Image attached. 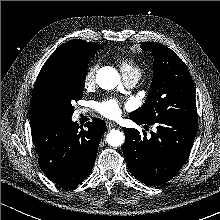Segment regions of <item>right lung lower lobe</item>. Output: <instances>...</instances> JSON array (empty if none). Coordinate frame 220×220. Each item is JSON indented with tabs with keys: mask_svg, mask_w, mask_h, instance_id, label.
<instances>
[{
	"mask_svg": "<svg viewBox=\"0 0 220 220\" xmlns=\"http://www.w3.org/2000/svg\"><path fill=\"white\" fill-rule=\"evenodd\" d=\"M85 127L80 128L71 117L56 116L32 126L39 164L45 175L63 188L77 186L90 175L99 142L107 130L98 118Z\"/></svg>",
	"mask_w": 220,
	"mask_h": 220,
	"instance_id": "98d812e1",
	"label": "right lung lower lobe"
}]
</instances>
